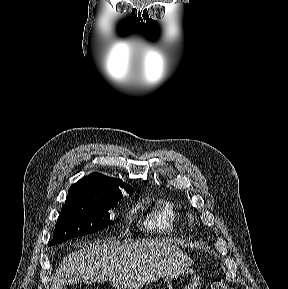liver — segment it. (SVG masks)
<instances>
[{"label": "liver", "mask_w": 288, "mask_h": 289, "mask_svg": "<svg viewBox=\"0 0 288 289\" xmlns=\"http://www.w3.org/2000/svg\"><path fill=\"white\" fill-rule=\"evenodd\" d=\"M192 263L170 241H101L64 257L51 289H62L71 277L86 284L109 280L117 289H140Z\"/></svg>", "instance_id": "1"}]
</instances>
